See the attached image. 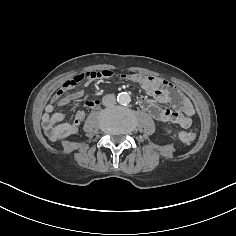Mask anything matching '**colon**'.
Segmentation results:
<instances>
[{
    "instance_id": "obj_1",
    "label": "colon",
    "mask_w": 236,
    "mask_h": 236,
    "mask_svg": "<svg viewBox=\"0 0 236 236\" xmlns=\"http://www.w3.org/2000/svg\"><path fill=\"white\" fill-rule=\"evenodd\" d=\"M98 76H100V77H111L112 72H110L109 70H103V71L98 73ZM123 76H124V78H126L129 81H133L135 79L133 74L123 75ZM179 137H180L182 142L190 143L195 139L196 134L194 132H181L179 134Z\"/></svg>"
}]
</instances>
